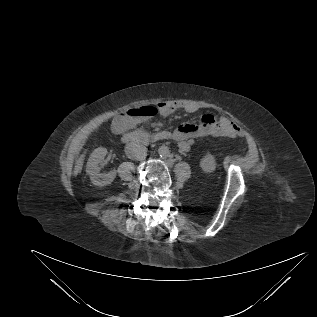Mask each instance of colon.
<instances>
[{
  "label": "colon",
  "mask_w": 317,
  "mask_h": 317,
  "mask_svg": "<svg viewBox=\"0 0 317 317\" xmlns=\"http://www.w3.org/2000/svg\"><path fill=\"white\" fill-rule=\"evenodd\" d=\"M159 108L156 105H143L129 109L126 114L133 119H147L158 114Z\"/></svg>",
  "instance_id": "5ec220e1"
}]
</instances>
